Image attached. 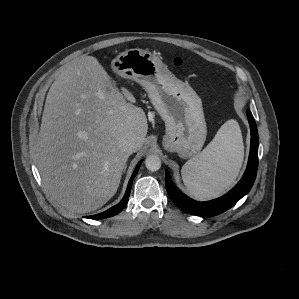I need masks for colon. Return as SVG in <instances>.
I'll return each instance as SVG.
<instances>
[{
    "instance_id": "5ec220e1",
    "label": "colon",
    "mask_w": 299,
    "mask_h": 299,
    "mask_svg": "<svg viewBox=\"0 0 299 299\" xmlns=\"http://www.w3.org/2000/svg\"><path fill=\"white\" fill-rule=\"evenodd\" d=\"M172 62L175 66H182L185 61L181 57H175V58H173Z\"/></svg>"
}]
</instances>
